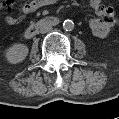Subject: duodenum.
<instances>
[{"mask_svg": "<svg viewBox=\"0 0 119 119\" xmlns=\"http://www.w3.org/2000/svg\"><path fill=\"white\" fill-rule=\"evenodd\" d=\"M59 23L57 17H45L36 22L31 23L25 30L24 36L27 39L34 37L41 28L55 26Z\"/></svg>", "mask_w": 119, "mask_h": 119, "instance_id": "obj_1", "label": "duodenum"}]
</instances>
